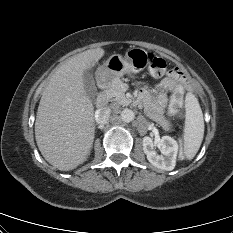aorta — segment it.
Returning a JSON list of instances; mask_svg holds the SVG:
<instances>
[{
  "label": "aorta",
  "mask_w": 233,
  "mask_h": 233,
  "mask_svg": "<svg viewBox=\"0 0 233 233\" xmlns=\"http://www.w3.org/2000/svg\"><path fill=\"white\" fill-rule=\"evenodd\" d=\"M120 118L123 122L129 123L134 120L135 113L130 109H124L120 114Z\"/></svg>",
  "instance_id": "obj_1"
}]
</instances>
